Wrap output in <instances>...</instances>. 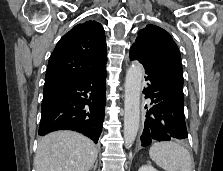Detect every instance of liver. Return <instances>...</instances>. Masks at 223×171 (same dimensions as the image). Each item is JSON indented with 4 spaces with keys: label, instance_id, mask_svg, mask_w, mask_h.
Returning a JSON list of instances; mask_svg holds the SVG:
<instances>
[{
    "label": "liver",
    "instance_id": "liver-1",
    "mask_svg": "<svg viewBox=\"0 0 223 171\" xmlns=\"http://www.w3.org/2000/svg\"><path fill=\"white\" fill-rule=\"evenodd\" d=\"M95 144L73 131L52 132L38 142L36 171H89L97 159Z\"/></svg>",
    "mask_w": 223,
    "mask_h": 171
}]
</instances>
